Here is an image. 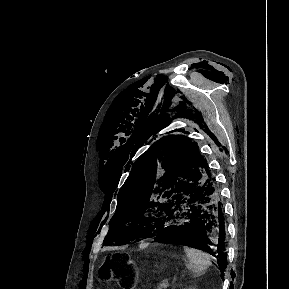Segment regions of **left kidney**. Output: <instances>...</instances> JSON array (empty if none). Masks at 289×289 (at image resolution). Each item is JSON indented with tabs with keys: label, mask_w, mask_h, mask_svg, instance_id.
I'll use <instances>...</instances> for the list:
<instances>
[{
	"label": "left kidney",
	"mask_w": 289,
	"mask_h": 289,
	"mask_svg": "<svg viewBox=\"0 0 289 289\" xmlns=\"http://www.w3.org/2000/svg\"><path fill=\"white\" fill-rule=\"evenodd\" d=\"M184 289H195V288L189 287V288H184Z\"/></svg>",
	"instance_id": "5707ae66"
}]
</instances>
